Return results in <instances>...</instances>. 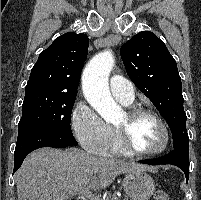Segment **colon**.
<instances>
[{"mask_svg": "<svg viewBox=\"0 0 201 200\" xmlns=\"http://www.w3.org/2000/svg\"><path fill=\"white\" fill-rule=\"evenodd\" d=\"M154 200H170L167 192L159 190L154 195Z\"/></svg>", "mask_w": 201, "mask_h": 200, "instance_id": "5ec220e1", "label": "colon"}]
</instances>
